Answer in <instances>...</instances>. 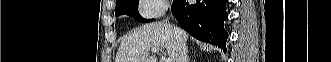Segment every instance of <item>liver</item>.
I'll use <instances>...</instances> for the list:
<instances>
[{
    "label": "liver",
    "mask_w": 331,
    "mask_h": 62,
    "mask_svg": "<svg viewBox=\"0 0 331 62\" xmlns=\"http://www.w3.org/2000/svg\"><path fill=\"white\" fill-rule=\"evenodd\" d=\"M184 42L188 34L163 22H153L136 28L126 36L116 54L115 62H156L150 49L165 48L172 62H176L177 39Z\"/></svg>",
    "instance_id": "1"
}]
</instances>
